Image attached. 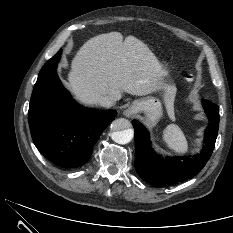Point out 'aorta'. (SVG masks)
Instances as JSON below:
<instances>
[{
    "label": "aorta",
    "instance_id": "762f6f07",
    "mask_svg": "<svg viewBox=\"0 0 233 233\" xmlns=\"http://www.w3.org/2000/svg\"><path fill=\"white\" fill-rule=\"evenodd\" d=\"M130 126V122L125 118L115 119L110 126L112 140L118 144L129 143L134 136V131Z\"/></svg>",
    "mask_w": 233,
    "mask_h": 233
}]
</instances>
